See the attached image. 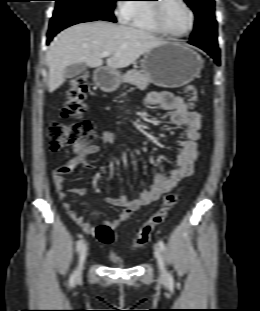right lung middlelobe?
<instances>
[{"instance_id": "obj_1", "label": "right lung middle lobe", "mask_w": 260, "mask_h": 311, "mask_svg": "<svg viewBox=\"0 0 260 311\" xmlns=\"http://www.w3.org/2000/svg\"><path fill=\"white\" fill-rule=\"evenodd\" d=\"M52 19L62 17L86 18L116 22L113 9L117 0H55Z\"/></svg>"}]
</instances>
